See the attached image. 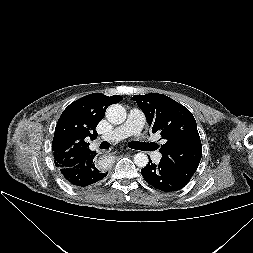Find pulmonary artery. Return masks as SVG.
Returning a JSON list of instances; mask_svg holds the SVG:
<instances>
[{
	"label": "pulmonary artery",
	"mask_w": 253,
	"mask_h": 253,
	"mask_svg": "<svg viewBox=\"0 0 253 253\" xmlns=\"http://www.w3.org/2000/svg\"><path fill=\"white\" fill-rule=\"evenodd\" d=\"M146 118L144 113L136 108L129 111L127 120L109 133L104 134L101 139L109 142L121 140L130 135H139L145 125ZM151 158L154 162H159L161 154L157 151L151 152Z\"/></svg>",
	"instance_id": "1"
}]
</instances>
